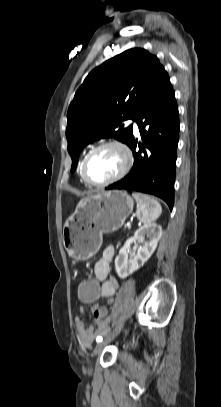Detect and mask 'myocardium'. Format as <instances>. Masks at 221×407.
<instances>
[{
  "instance_id": "1",
  "label": "myocardium",
  "mask_w": 221,
  "mask_h": 407,
  "mask_svg": "<svg viewBox=\"0 0 221 407\" xmlns=\"http://www.w3.org/2000/svg\"><path fill=\"white\" fill-rule=\"evenodd\" d=\"M107 147H116L123 153L124 158H125L124 166H123L122 170L113 178L103 181V182H95V181L91 180L88 176V173H87L88 162L92 158L93 155H95L97 152H99L100 150L107 148ZM133 163H134L133 153L127 144H125L124 142H122L120 140L105 141V142L97 145L93 149H91L86 154V156L82 162V166H81L82 178L87 184L94 186V187L108 186V185H111V184L121 180L122 178H124L132 169Z\"/></svg>"
}]
</instances>
